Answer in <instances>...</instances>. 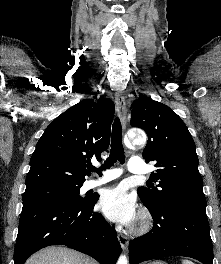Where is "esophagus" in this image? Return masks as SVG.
Wrapping results in <instances>:
<instances>
[{"label": "esophagus", "mask_w": 221, "mask_h": 264, "mask_svg": "<svg viewBox=\"0 0 221 264\" xmlns=\"http://www.w3.org/2000/svg\"><path fill=\"white\" fill-rule=\"evenodd\" d=\"M115 102H116L117 109L119 112V117H120L122 127L125 128L126 126V101H125L124 95L122 93H116ZM118 241L123 249H125L129 244L128 237L122 233L118 234Z\"/></svg>", "instance_id": "34e87169"}]
</instances>
